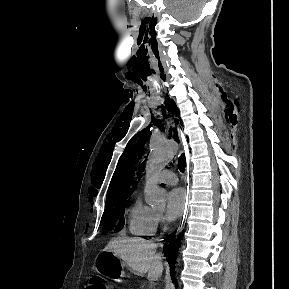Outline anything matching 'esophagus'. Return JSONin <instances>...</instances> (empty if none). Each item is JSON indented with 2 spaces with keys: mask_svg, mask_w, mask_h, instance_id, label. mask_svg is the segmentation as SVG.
<instances>
[{
  "mask_svg": "<svg viewBox=\"0 0 289 289\" xmlns=\"http://www.w3.org/2000/svg\"><path fill=\"white\" fill-rule=\"evenodd\" d=\"M176 135H177V138H178L180 144L182 145L183 150H184L185 155H186L185 178H186V187L188 189L189 185H190L189 179H187V176H188V173H189V149H188L187 143H186V141L184 139L185 137H184L183 133L181 132V130L179 128H177ZM188 199H189V196H187V200ZM184 218H185V214L181 217V223H183Z\"/></svg>",
  "mask_w": 289,
  "mask_h": 289,
  "instance_id": "obj_1",
  "label": "esophagus"
}]
</instances>
